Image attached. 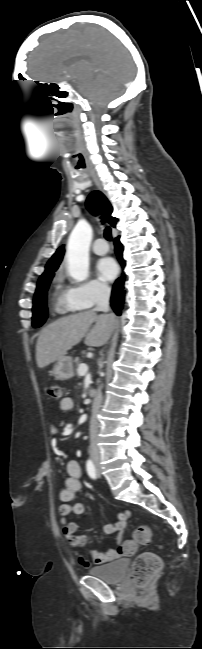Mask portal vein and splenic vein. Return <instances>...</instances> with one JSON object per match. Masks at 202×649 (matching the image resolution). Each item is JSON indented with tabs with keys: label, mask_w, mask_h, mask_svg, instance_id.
<instances>
[{
	"label": "portal vein and splenic vein",
	"mask_w": 202,
	"mask_h": 649,
	"mask_svg": "<svg viewBox=\"0 0 202 649\" xmlns=\"http://www.w3.org/2000/svg\"><path fill=\"white\" fill-rule=\"evenodd\" d=\"M88 372V367L85 364H81L78 368V373L81 376H85Z\"/></svg>",
	"instance_id": "portal-vein-and-splenic-vein-1"
}]
</instances>
